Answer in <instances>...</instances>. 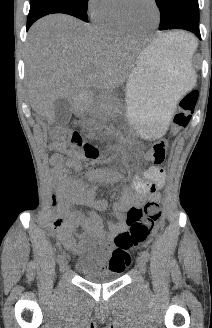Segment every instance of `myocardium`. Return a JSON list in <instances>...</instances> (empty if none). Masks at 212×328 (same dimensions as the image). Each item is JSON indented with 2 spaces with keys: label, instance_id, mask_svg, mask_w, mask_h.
Here are the masks:
<instances>
[{
  "label": "myocardium",
  "instance_id": "f54148a6",
  "mask_svg": "<svg viewBox=\"0 0 212 328\" xmlns=\"http://www.w3.org/2000/svg\"><path fill=\"white\" fill-rule=\"evenodd\" d=\"M150 2L152 3V5H153V7H154V9H155V11H156V16H157V17H156V22H155V24H154L153 26H151V27H148V28H136V27L132 26V25L128 22V20H127L125 14H124V12H123V10H122L121 4H120V3H121V0H118V5H117V15H118V18H119L121 24L123 25V27H124L127 31H129L130 33L145 34V33H148V32H150V31H152V30H154V29H156V28L158 27V25H159V23H160V20H161V11H160V7H159V5H158L157 0H150Z\"/></svg>",
  "mask_w": 212,
  "mask_h": 328
}]
</instances>
